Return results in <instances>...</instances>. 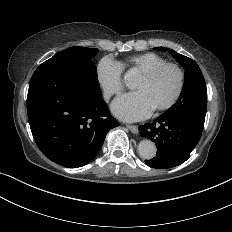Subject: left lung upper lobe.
<instances>
[{"label": "left lung upper lobe", "mask_w": 232, "mask_h": 232, "mask_svg": "<svg viewBox=\"0 0 232 232\" xmlns=\"http://www.w3.org/2000/svg\"><path fill=\"white\" fill-rule=\"evenodd\" d=\"M154 49L167 50L164 47ZM168 52L185 68V82L177 102L162 115L182 117L203 129L207 109V90L202 72L194 60L172 49H168Z\"/></svg>", "instance_id": "1"}]
</instances>
